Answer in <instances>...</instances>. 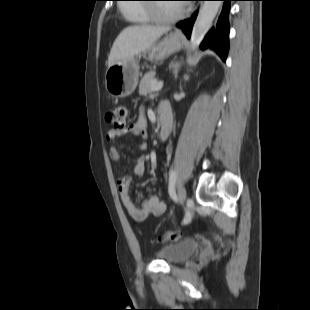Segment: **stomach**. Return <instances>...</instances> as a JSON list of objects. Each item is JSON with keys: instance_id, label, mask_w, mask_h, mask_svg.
Segmentation results:
<instances>
[{"instance_id": "stomach-1", "label": "stomach", "mask_w": 310, "mask_h": 310, "mask_svg": "<svg viewBox=\"0 0 310 310\" xmlns=\"http://www.w3.org/2000/svg\"><path fill=\"white\" fill-rule=\"evenodd\" d=\"M180 48L181 37L177 33H170L148 49V59L162 61L169 55L179 51ZM138 78L139 65L135 59L116 63L106 70L105 87L114 97H127L135 91Z\"/></svg>"}]
</instances>
